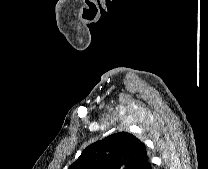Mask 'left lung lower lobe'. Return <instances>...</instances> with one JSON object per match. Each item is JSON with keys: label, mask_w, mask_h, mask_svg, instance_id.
Instances as JSON below:
<instances>
[{"label": "left lung lower lobe", "mask_w": 208, "mask_h": 169, "mask_svg": "<svg viewBox=\"0 0 208 169\" xmlns=\"http://www.w3.org/2000/svg\"><path fill=\"white\" fill-rule=\"evenodd\" d=\"M144 169H152L151 163L148 160L147 164L145 165Z\"/></svg>", "instance_id": "1"}]
</instances>
